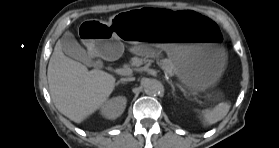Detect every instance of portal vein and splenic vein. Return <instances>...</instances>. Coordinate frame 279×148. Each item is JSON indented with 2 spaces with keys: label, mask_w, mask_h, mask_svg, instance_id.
<instances>
[{
  "label": "portal vein and splenic vein",
  "mask_w": 279,
  "mask_h": 148,
  "mask_svg": "<svg viewBox=\"0 0 279 148\" xmlns=\"http://www.w3.org/2000/svg\"><path fill=\"white\" fill-rule=\"evenodd\" d=\"M115 72H116L117 74H120V75H129V74L132 73L131 70H129V69H124V68H117V69H115ZM165 75H167L166 72H165Z\"/></svg>",
  "instance_id": "18ae733b"
}]
</instances>
